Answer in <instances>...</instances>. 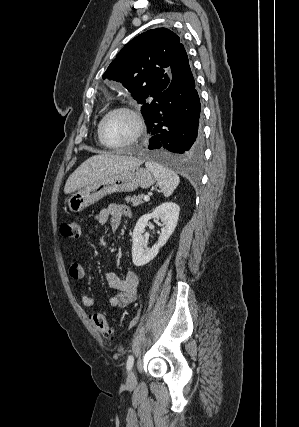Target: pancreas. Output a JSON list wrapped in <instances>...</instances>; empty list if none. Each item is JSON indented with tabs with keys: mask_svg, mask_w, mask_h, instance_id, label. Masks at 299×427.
<instances>
[{
	"mask_svg": "<svg viewBox=\"0 0 299 427\" xmlns=\"http://www.w3.org/2000/svg\"><path fill=\"white\" fill-rule=\"evenodd\" d=\"M143 197H144L143 194H139L137 196H132V197L127 196L126 201H127V203L130 202L132 204V206L135 207V206H138V205L143 203V201H142Z\"/></svg>",
	"mask_w": 299,
	"mask_h": 427,
	"instance_id": "1",
	"label": "pancreas"
}]
</instances>
